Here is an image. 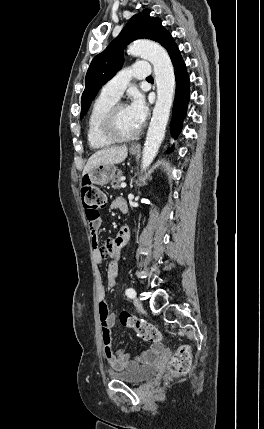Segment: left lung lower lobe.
<instances>
[{
  "instance_id": "left-lung-lower-lobe-1",
  "label": "left lung lower lobe",
  "mask_w": 264,
  "mask_h": 429,
  "mask_svg": "<svg viewBox=\"0 0 264 429\" xmlns=\"http://www.w3.org/2000/svg\"><path fill=\"white\" fill-rule=\"evenodd\" d=\"M160 44L167 49L174 66L176 77V92L170 123L171 135L176 139L182 129V123L187 113L188 101L190 98V81L185 64L180 55L179 49L173 37L167 32ZM168 151H172L171 148Z\"/></svg>"
}]
</instances>
